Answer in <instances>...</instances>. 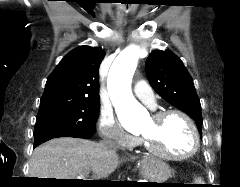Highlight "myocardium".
<instances>
[{"label":"myocardium","mask_w":240,"mask_h":187,"mask_svg":"<svg viewBox=\"0 0 240 187\" xmlns=\"http://www.w3.org/2000/svg\"><path fill=\"white\" fill-rule=\"evenodd\" d=\"M170 115H176L179 116L188 126L191 136H192V146L189 151H187L184 154H170L164 151L157 150L152 143L150 142L149 138L142 135L141 140L144 145V149L151 155L161 158V159H167V160H185L193 155H195L199 149L200 146V137L197 130V127L193 120L190 118L188 114L185 112L178 110V109H167V110H161L153 115V120L155 121H161L165 119L166 117Z\"/></svg>","instance_id":"1"}]
</instances>
